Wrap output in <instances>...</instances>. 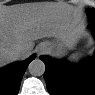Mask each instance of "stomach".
<instances>
[{"label": "stomach", "instance_id": "obj_1", "mask_svg": "<svg viewBox=\"0 0 95 95\" xmlns=\"http://www.w3.org/2000/svg\"><path fill=\"white\" fill-rule=\"evenodd\" d=\"M81 32L82 30L79 26L66 29L58 37L49 42L48 52L55 57L64 56L77 45L81 37Z\"/></svg>", "mask_w": 95, "mask_h": 95}]
</instances>
